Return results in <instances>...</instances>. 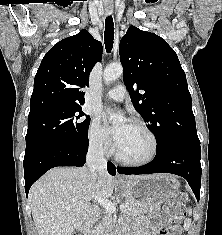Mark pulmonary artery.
<instances>
[{
  "label": "pulmonary artery",
  "instance_id": "pulmonary-artery-1",
  "mask_svg": "<svg viewBox=\"0 0 222 235\" xmlns=\"http://www.w3.org/2000/svg\"><path fill=\"white\" fill-rule=\"evenodd\" d=\"M127 96L126 88L123 85H118L109 90L106 93L108 99L114 100L116 102H122Z\"/></svg>",
  "mask_w": 222,
  "mask_h": 235
}]
</instances>
